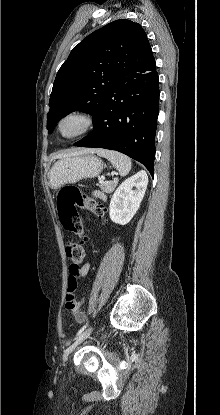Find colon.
Listing matches in <instances>:
<instances>
[{"mask_svg":"<svg viewBox=\"0 0 220 415\" xmlns=\"http://www.w3.org/2000/svg\"><path fill=\"white\" fill-rule=\"evenodd\" d=\"M85 198L79 188L66 186L62 188L57 197V209L59 220L63 227L77 235H84V226L77 214V205L83 204ZM95 214L99 217L104 215V208L96 206ZM66 255L71 260L69 267V280L66 295V307H73L77 302V291L79 287L80 271L79 265L85 257V248L82 244L69 242L66 244Z\"/></svg>","mask_w":220,"mask_h":415,"instance_id":"obj_1","label":"colon"}]
</instances>
